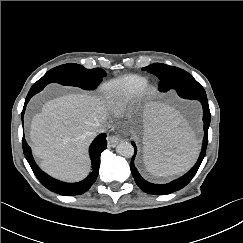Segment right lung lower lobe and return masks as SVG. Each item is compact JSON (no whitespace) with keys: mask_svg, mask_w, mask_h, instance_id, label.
<instances>
[{"mask_svg":"<svg viewBox=\"0 0 243 243\" xmlns=\"http://www.w3.org/2000/svg\"><path fill=\"white\" fill-rule=\"evenodd\" d=\"M44 87L45 86H35V85L31 87L25 100L24 108L22 111V120H23V115L28 101L33 95L43 90ZM22 145H23L24 155L30 167L32 168L34 174L41 182V184L45 186L47 189H49L50 191L55 192L57 194L72 196V195H79L86 192L95 182L99 173L100 155L107 148V141H106V134H100L95 138V140L92 142L89 149L93 172L83 181H80L78 183H71V184L64 183L50 177L36 165L32 157L31 149L27 144L24 136L22 140Z\"/></svg>","mask_w":243,"mask_h":243,"instance_id":"obj_1","label":"right lung lower lobe"}]
</instances>
